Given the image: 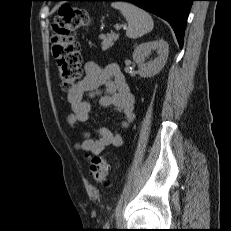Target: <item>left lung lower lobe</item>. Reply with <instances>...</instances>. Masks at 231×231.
<instances>
[{"instance_id":"obj_1","label":"left lung lower lobe","mask_w":231,"mask_h":231,"mask_svg":"<svg viewBox=\"0 0 231 231\" xmlns=\"http://www.w3.org/2000/svg\"><path fill=\"white\" fill-rule=\"evenodd\" d=\"M60 1V0H55ZM127 1L165 19L173 28L180 47L183 46L188 13L194 0H89Z\"/></svg>"}]
</instances>
